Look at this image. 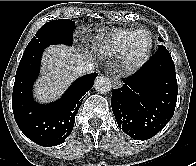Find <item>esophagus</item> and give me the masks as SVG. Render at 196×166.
I'll return each instance as SVG.
<instances>
[{
	"instance_id": "obj_1",
	"label": "esophagus",
	"mask_w": 196,
	"mask_h": 166,
	"mask_svg": "<svg viewBox=\"0 0 196 166\" xmlns=\"http://www.w3.org/2000/svg\"><path fill=\"white\" fill-rule=\"evenodd\" d=\"M107 74H108V72H107ZM110 76H111V75H110ZM112 78H113L114 87H115L116 89L120 88V87L122 86L121 81H120L118 78H115V77H113V76H112Z\"/></svg>"
}]
</instances>
